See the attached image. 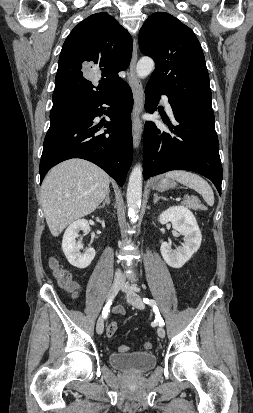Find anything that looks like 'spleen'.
Returning a JSON list of instances; mask_svg holds the SVG:
<instances>
[{
	"instance_id": "1",
	"label": "spleen",
	"mask_w": 253,
	"mask_h": 413,
	"mask_svg": "<svg viewBox=\"0 0 253 413\" xmlns=\"http://www.w3.org/2000/svg\"><path fill=\"white\" fill-rule=\"evenodd\" d=\"M167 178L175 179L181 184L194 189L202 195L207 205H214V194L211 186L199 175L185 170H174L166 174Z\"/></svg>"
}]
</instances>
